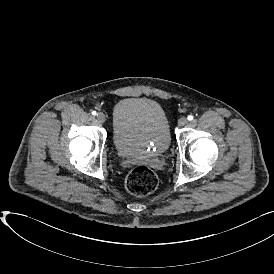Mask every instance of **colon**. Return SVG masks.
<instances>
[{
    "label": "colon",
    "instance_id": "obj_1",
    "mask_svg": "<svg viewBox=\"0 0 274 274\" xmlns=\"http://www.w3.org/2000/svg\"><path fill=\"white\" fill-rule=\"evenodd\" d=\"M156 174L146 167L132 170L126 178V188L132 195L146 196L157 188Z\"/></svg>",
    "mask_w": 274,
    "mask_h": 274
}]
</instances>
